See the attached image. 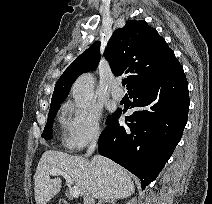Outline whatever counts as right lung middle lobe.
<instances>
[{
	"mask_svg": "<svg viewBox=\"0 0 212 204\" xmlns=\"http://www.w3.org/2000/svg\"><path fill=\"white\" fill-rule=\"evenodd\" d=\"M58 109H59V105H51L50 106L48 120H47L46 126L44 128V132L42 134V137L46 140L51 138V133H52L51 128H52V124H53V118L56 115Z\"/></svg>",
	"mask_w": 212,
	"mask_h": 204,
	"instance_id": "right-lung-middle-lobe-1",
	"label": "right lung middle lobe"
}]
</instances>
